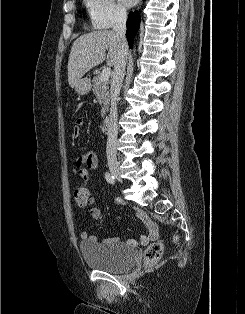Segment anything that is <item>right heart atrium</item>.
<instances>
[{
	"label": "right heart atrium",
	"instance_id": "obj_1",
	"mask_svg": "<svg viewBox=\"0 0 245 314\" xmlns=\"http://www.w3.org/2000/svg\"><path fill=\"white\" fill-rule=\"evenodd\" d=\"M90 21L95 29H109L126 18L125 9L115 0H86Z\"/></svg>",
	"mask_w": 245,
	"mask_h": 314
}]
</instances>
